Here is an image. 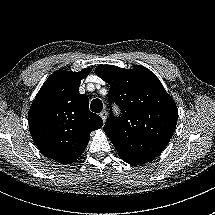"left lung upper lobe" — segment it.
I'll use <instances>...</instances> for the list:
<instances>
[{
  "label": "left lung upper lobe",
  "mask_w": 215,
  "mask_h": 215,
  "mask_svg": "<svg viewBox=\"0 0 215 215\" xmlns=\"http://www.w3.org/2000/svg\"><path fill=\"white\" fill-rule=\"evenodd\" d=\"M96 74L110 84L108 99L116 102L121 117L108 118L104 131L120 157L151 161L162 153L177 122V107L159 79L137 65L122 69L99 65Z\"/></svg>",
  "instance_id": "5c2ea615"
}]
</instances>
